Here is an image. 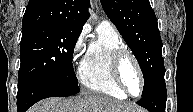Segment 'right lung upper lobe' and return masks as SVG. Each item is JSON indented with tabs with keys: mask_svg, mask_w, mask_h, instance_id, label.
I'll list each match as a JSON object with an SVG mask.
<instances>
[{
	"mask_svg": "<svg viewBox=\"0 0 193 112\" xmlns=\"http://www.w3.org/2000/svg\"><path fill=\"white\" fill-rule=\"evenodd\" d=\"M89 0H30L22 31L39 26L82 29L88 19Z\"/></svg>",
	"mask_w": 193,
	"mask_h": 112,
	"instance_id": "cb5924a9",
	"label": "right lung upper lobe"
}]
</instances>
